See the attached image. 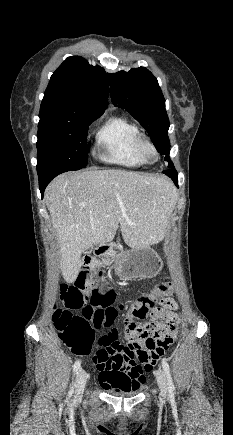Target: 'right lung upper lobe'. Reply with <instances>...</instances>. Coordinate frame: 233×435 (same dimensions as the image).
Wrapping results in <instances>:
<instances>
[{
	"label": "right lung upper lobe",
	"mask_w": 233,
	"mask_h": 435,
	"mask_svg": "<svg viewBox=\"0 0 233 435\" xmlns=\"http://www.w3.org/2000/svg\"><path fill=\"white\" fill-rule=\"evenodd\" d=\"M108 82L103 68L80 56L67 58L51 76L40 118L100 116L107 107Z\"/></svg>",
	"instance_id": "right-lung-upper-lobe-1"
}]
</instances>
